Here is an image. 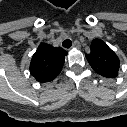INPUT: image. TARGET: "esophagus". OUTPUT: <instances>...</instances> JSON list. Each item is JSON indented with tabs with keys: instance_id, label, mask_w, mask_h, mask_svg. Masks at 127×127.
Returning a JSON list of instances; mask_svg holds the SVG:
<instances>
[{
	"instance_id": "34e87169",
	"label": "esophagus",
	"mask_w": 127,
	"mask_h": 127,
	"mask_svg": "<svg viewBox=\"0 0 127 127\" xmlns=\"http://www.w3.org/2000/svg\"><path fill=\"white\" fill-rule=\"evenodd\" d=\"M72 46L79 47V46H80L79 41L75 40V41L73 42Z\"/></svg>"
}]
</instances>
